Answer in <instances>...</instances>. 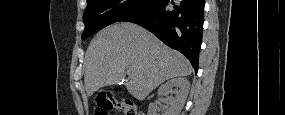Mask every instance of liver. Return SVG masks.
Here are the masks:
<instances>
[{
  "label": "liver",
  "mask_w": 285,
  "mask_h": 115,
  "mask_svg": "<svg viewBox=\"0 0 285 115\" xmlns=\"http://www.w3.org/2000/svg\"><path fill=\"white\" fill-rule=\"evenodd\" d=\"M129 70L128 91L138 100L164 81L189 76L190 62L153 34L131 23L108 26L91 41L85 61L84 84L88 96L118 84Z\"/></svg>",
  "instance_id": "liver-1"
}]
</instances>
